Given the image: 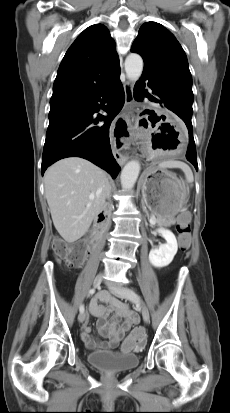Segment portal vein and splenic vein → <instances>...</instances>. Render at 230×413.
I'll return each instance as SVG.
<instances>
[{"mask_svg": "<svg viewBox=\"0 0 230 413\" xmlns=\"http://www.w3.org/2000/svg\"><path fill=\"white\" fill-rule=\"evenodd\" d=\"M150 222H151V223H155V219H151Z\"/></svg>", "mask_w": 230, "mask_h": 413, "instance_id": "obj_1", "label": "portal vein and splenic vein"}]
</instances>
